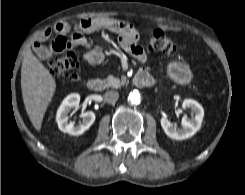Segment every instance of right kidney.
<instances>
[{
  "label": "right kidney",
  "instance_id": "right-kidney-1",
  "mask_svg": "<svg viewBox=\"0 0 245 195\" xmlns=\"http://www.w3.org/2000/svg\"><path fill=\"white\" fill-rule=\"evenodd\" d=\"M80 95L73 93L68 95L61 103L60 107L57 110L56 121L58 123L59 129L64 133H69L70 135H81L95 121V114L92 111L83 112L81 114L82 122L78 125H74L72 122H68V113L71 109L79 107Z\"/></svg>",
  "mask_w": 245,
  "mask_h": 195
}]
</instances>
